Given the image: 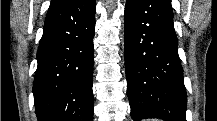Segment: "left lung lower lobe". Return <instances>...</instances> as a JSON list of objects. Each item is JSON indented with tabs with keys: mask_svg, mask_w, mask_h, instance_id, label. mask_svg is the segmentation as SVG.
Returning <instances> with one entry per match:
<instances>
[{
	"mask_svg": "<svg viewBox=\"0 0 217 121\" xmlns=\"http://www.w3.org/2000/svg\"><path fill=\"white\" fill-rule=\"evenodd\" d=\"M124 46L132 119L186 121L187 95L171 0H127Z\"/></svg>",
	"mask_w": 217,
	"mask_h": 121,
	"instance_id": "1",
	"label": "left lung lower lobe"
}]
</instances>
